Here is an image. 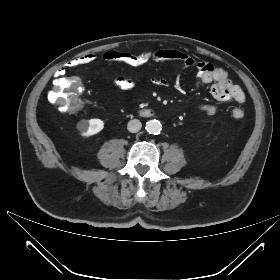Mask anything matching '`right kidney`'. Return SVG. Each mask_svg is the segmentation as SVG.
<instances>
[{
    "label": "right kidney",
    "mask_w": 280,
    "mask_h": 280,
    "mask_svg": "<svg viewBox=\"0 0 280 280\" xmlns=\"http://www.w3.org/2000/svg\"><path fill=\"white\" fill-rule=\"evenodd\" d=\"M77 128L80 130L81 135L89 137L99 133L104 128V122L101 119L81 120Z\"/></svg>",
    "instance_id": "ca27d5eb"
}]
</instances>
